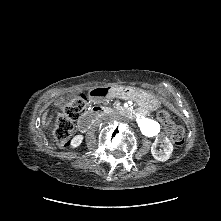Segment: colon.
<instances>
[{
  "instance_id": "colon-1",
  "label": "colon",
  "mask_w": 221,
  "mask_h": 221,
  "mask_svg": "<svg viewBox=\"0 0 221 221\" xmlns=\"http://www.w3.org/2000/svg\"><path fill=\"white\" fill-rule=\"evenodd\" d=\"M86 104V96L80 93L63 97L59 101V112L53 122V135L59 146L65 147L69 145L74 130V120L83 113ZM158 119L164 125V130L170 136L172 142L175 145L183 144L185 131L182 126L171 121L170 115L166 110H161L158 113Z\"/></svg>"
}]
</instances>
